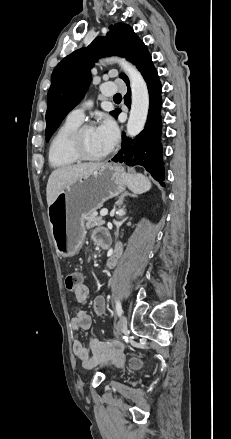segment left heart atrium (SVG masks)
I'll return each instance as SVG.
<instances>
[{"mask_svg":"<svg viewBox=\"0 0 231 439\" xmlns=\"http://www.w3.org/2000/svg\"><path fill=\"white\" fill-rule=\"evenodd\" d=\"M95 131L107 151L111 150L118 140V128L114 121L109 118L103 119Z\"/></svg>","mask_w":231,"mask_h":439,"instance_id":"obj_1","label":"left heart atrium"}]
</instances>
